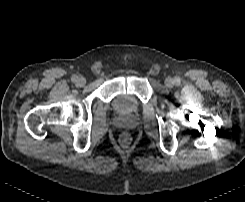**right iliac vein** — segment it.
<instances>
[{
  "label": "right iliac vein",
  "instance_id": "right-iliac-vein-1",
  "mask_svg": "<svg viewBox=\"0 0 245 202\" xmlns=\"http://www.w3.org/2000/svg\"><path fill=\"white\" fill-rule=\"evenodd\" d=\"M76 83L78 86H84L86 84V79L84 77H79Z\"/></svg>",
  "mask_w": 245,
  "mask_h": 202
}]
</instances>
